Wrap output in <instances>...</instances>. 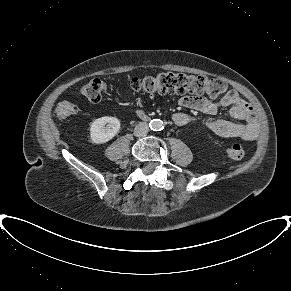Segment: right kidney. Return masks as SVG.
Listing matches in <instances>:
<instances>
[{
	"label": "right kidney",
	"mask_w": 291,
	"mask_h": 291,
	"mask_svg": "<svg viewBox=\"0 0 291 291\" xmlns=\"http://www.w3.org/2000/svg\"><path fill=\"white\" fill-rule=\"evenodd\" d=\"M120 121L111 116L94 120L90 126V139L92 143L103 144L110 141L120 130Z\"/></svg>",
	"instance_id": "right-kidney-1"
}]
</instances>
